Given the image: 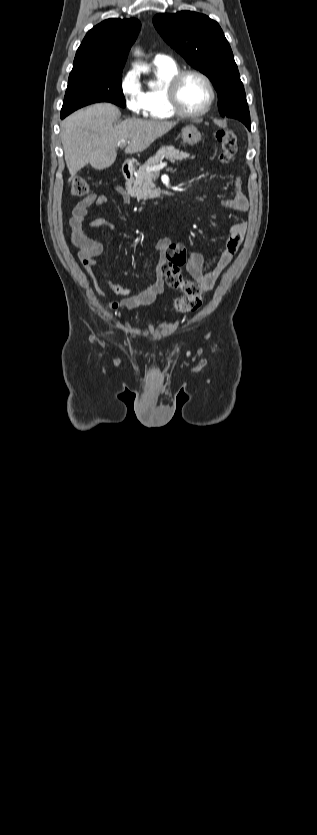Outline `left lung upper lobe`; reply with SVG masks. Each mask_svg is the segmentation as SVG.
<instances>
[{
  "label": "left lung upper lobe",
  "instance_id": "5c2ea615",
  "mask_svg": "<svg viewBox=\"0 0 317 835\" xmlns=\"http://www.w3.org/2000/svg\"><path fill=\"white\" fill-rule=\"evenodd\" d=\"M153 23L172 48L212 81L218 94L220 114L243 123L250 122L244 86L219 24L192 11L157 14Z\"/></svg>",
  "mask_w": 317,
  "mask_h": 835
}]
</instances>
